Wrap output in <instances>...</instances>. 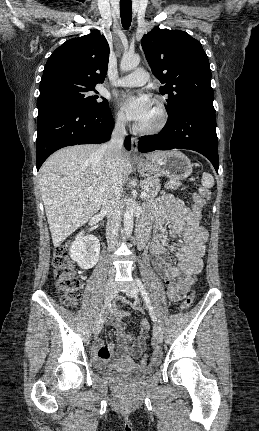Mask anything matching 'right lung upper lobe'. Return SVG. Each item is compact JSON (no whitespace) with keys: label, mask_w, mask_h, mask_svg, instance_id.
Segmentation results:
<instances>
[{"label":"right lung upper lobe","mask_w":259,"mask_h":431,"mask_svg":"<svg viewBox=\"0 0 259 431\" xmlns=\"http://www.w3.org/2000/svg\"><path fill=\"white\" fill-rule=\"evenodd\" d=\"M108 60L109 45L99 31L95 30L88 35L70 39L48 58L41 78L40 90L42 91V87L52 81H66L81 87H95L105 79Z\"/></svg>","instance_id":"obj_1"}]
</instances>
